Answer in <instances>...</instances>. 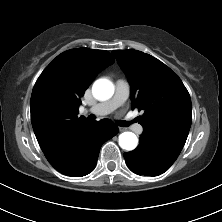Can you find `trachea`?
<instances>
[{
    "label": "trachea",
    "instance_id": "1",
    "mask_svg": "<svg viewBox=\"0 0 222 222\" xmlns=\"http://www.w3.org/2000/svg\"><path fill=\"white\" fill-rule=\"evenodd\" d=\"M133 122H134V121H133ZM116 123H117L119 126H121V127H126V126H129V125L131 124V122H129V121H121V120L116 121Z\"/></svg>",
    "mask_w": 222,
    "mask_h": 222
}]
</instances>
